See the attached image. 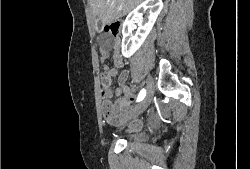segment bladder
I'll return each instance as SVG.
<instances>
[{"mask_svg":"<svg viewBox=\"0 0 250 169\" xmlns=\"http://www.w3.org/2000/svg\"><path fill=\"white\" fill-rule=\"evenodd\" d=\"M150 133H138L134 131L125 137L129 145H144L149 141Z\"/></svg>","mask_w":250,"mask_h":169,"instance_id":"1","label":"bladder"}]
</instances>
